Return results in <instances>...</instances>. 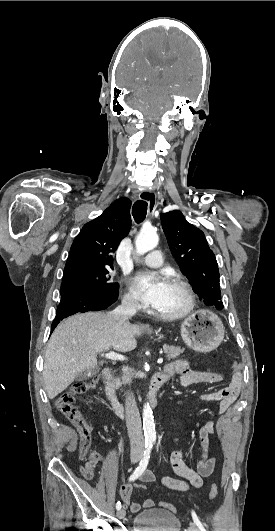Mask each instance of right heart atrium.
Masks as SVG:
<instances>
[{
  "mask_svg": "<svg viewBox=\"0 0 275 531\" xmlns=\"http://www.w3.org/2000/svg\"><path fill=\"white\" fill-rule=\"evenodd\" d=\"M123 304L131 312H136L141 308V304L139 302L138 297L132 291H127L125 293L123 298Z\"/></svg>",
  "mask_w": 275,
  "mask_h": 531,
  "instance_id": "obj_1",
  "label": "right heart atrium"
}]
</instances>
